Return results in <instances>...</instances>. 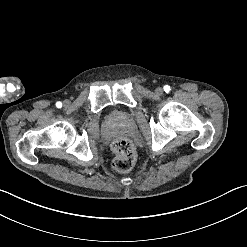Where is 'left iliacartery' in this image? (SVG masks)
Here are the masks:
<instances>
[{
  "label": "left iliac artery",
  "instance_id": "obj_1",
  "mask_svg": "<svg viewBox=\"0 0 247 247\" xmlns=\"http://www.w3.org/2000/svg\"><path fill=\"white\" fill-rule=\"evenodd\" d=\"M164 90H165V92L168 93L170 91V86H168V85L164 86Z\"/></svg>",
  "mask_w": 247,
  "mask_h": 247
}]
</instances>
